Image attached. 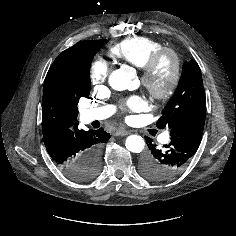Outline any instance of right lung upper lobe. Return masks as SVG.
I'll return each mask as SVG.
<instances>
[{
    "mask_svg": "<svg viewBox=\"0 0 236 236\" xmlns=\"http://www.w3.org/2000/svg\"><path fill=\"white\" fill-rule=\"evenodd\" d=\"M103 40H87L76 43L62 52L51 65L43 88V135L57 130L72 129L78 125V102L69 88L80 52Z\"/></svg>",
    "mask_w": 236,
    "mask_h": 236,
    "instance_id": "obj_1",
    "label": "right lung upper lobe"
}]
</instances>
